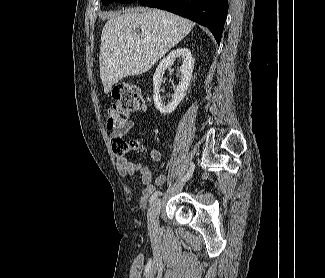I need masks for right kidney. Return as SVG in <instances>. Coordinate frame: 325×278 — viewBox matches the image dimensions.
Listing matches in <instances>:
<instances>
[{
	"label": "right kidney",
	"mask_w": 325,
	"mask_h": 278,
	"mask_svg": "<svg viewBox=\"0 0 325 278\" xmlns=\"http://www.w3.org/2000/svg\"><path fill=\"white\" fill-rule=\"evenodd\" d=\"M182 58V65L180 67L181 71V81L178 86L174 90V94L172 96L171 102L165 104L160 96V86L163 82V75L165 70L173 63V61L177 58ZM194 67V59L192 54L188 48L180 47L173 51H171L166 57H164L153 76V100L156 109L161 114H170L172 113L179 103L184 99L185 92L188 89L190 84V80L192 77V71Z\"/></svg>",
	"instance_id": "ca27d5eb"
}]
</instances>
